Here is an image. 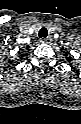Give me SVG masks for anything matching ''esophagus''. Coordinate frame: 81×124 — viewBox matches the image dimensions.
<instances>
[{"label": "esophagus", "instance_id": "1", "mask_svg": "<svg viewBox=\"0 0 81 124\" xmlns=\"http://www.w3.org/2000/svg\"><path fill=\"white\" fill-rule=\"evenodd\" d=\"M40 42H41V43H45V44H49V43L52 42V38H51V36H48V37H46V38H42V39L40 40Z\"/></svg>", "mask_w": 81, "mask_h": 124}]
</instances>
